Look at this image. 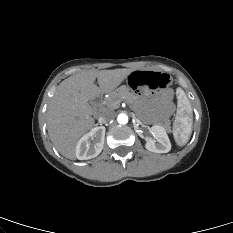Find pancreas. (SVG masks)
Returning a JSON list of instances; mask_svg holds the SVG:
<instances>
[{
    "instance_id": "pancreas-1",
    "label": "pancreas",
    "mask_w": 233,
    "mask_h": 233,
    "mask_svg": "<svg viewBox=\"0 0 233 233\" xmlns=\"http://www.w3.org/2000/svg\"><path fill=\"white\" fill-rule=\"evenodd\" d=\"M119 100H126L128 103L134 104L137 101V97L131 93L126 86H121L114 92L110 93L105 104L108 108L115 109L118 106Z\"/></svg>"
}]
</instances>
